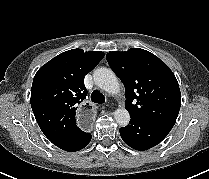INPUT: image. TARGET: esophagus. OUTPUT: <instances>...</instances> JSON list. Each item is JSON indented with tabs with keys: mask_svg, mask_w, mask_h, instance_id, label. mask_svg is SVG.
Here are the masks:
<instances>
[{
	"mask_svg": "<svg viewBox=\"0 0 209 179\" xmlns=\"http://www.w3.org/2000/svg\"><path fill=\"white\" fill-rule=\"evenodd\" d=\"M79 126L84 131H89L94 126L95 113L91 105H81L77 110Z\"/></svg>",
	"mask_w": 209,
	"mask_h": 179,
	"instance_id": "1",
	"label": "esophagus"
}]
</instances>
